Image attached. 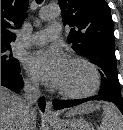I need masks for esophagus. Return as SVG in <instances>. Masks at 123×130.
I'll list each match as a JSON object with an SVG mask.
<instances>
[{
	"mask_svg": "<svg viewBox=\"0 0 123 130\" xmlns=\"http://www.w3.org/2000/svg\"><path fill=\"white\" fill-rule=\"evenodd\" d=\"M43 115L46 119H55L56 118V114L54 113V111L52 109V103L50 101L46 102V108H45Z\"/></svg>",
	"mask_w": 123,
	"mask_h": 130,
	"instance_id": "34e87169",
	"label": "esophagus"
}]
</instances>
